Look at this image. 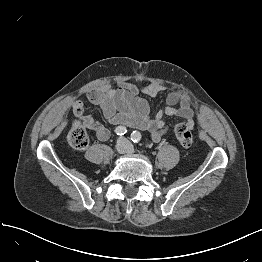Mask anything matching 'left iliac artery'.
<instances>
[{
    "mask_svg": "<svg viewBox=\"0 0 262 262\" xmlns=\"http://www.w3.org/2000/svg\"><path fill=\"white\" fill-rule=\"evenodd\" d=\"M131 140L134 142V143H139L140 140H141V134L140 132L138 131H133L131 133Z\"/></svg>",
    "mask_w": 262,
    "mask_h": 262,
    "instance_id": "44dca946",
    "label": "left iliac artery"
}]
</instances>
